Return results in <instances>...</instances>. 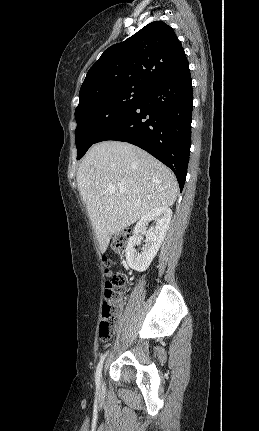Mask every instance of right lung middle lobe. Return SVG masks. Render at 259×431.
<instances>
[{
	"mask_svg": "<svg viewBox=\"0 0 259 431\" xmlns=\"http://www.w3.org/2000/svg\"><path fill=\"white\" fill-rule=\"evenodd\" d=\"M145 91L122 87L95 94L80 102L75 110L77 159L83 157L107 129L134 107Z\"/></svg>",
	"mask_w": 259,
	"mask_h": 431,
	"instance_id": "obj_1",
	"label": "right lung middle lobe"
}]
</instances>
